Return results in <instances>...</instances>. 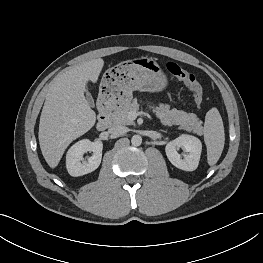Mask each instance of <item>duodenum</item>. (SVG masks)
I'll list each match as a JSON object with an SVG mask.
<instances>
[{"mask_svg": "<svg viewBox=\"0 0 263 263\" xmlns=\"http://www.w3.org/2000/svg\"><path fill=\"white\" fill-rule=\"evenodd\" d=\"M110 116L111 110L108 103L102 101L99 104V118L96 125L98 131H104L108 128L110 124Z\"/></svg>", "mask_w": 263, "mask_h": 263, "instance_id": "duodenum-1", "label": "duodenum"}]
</instances>
